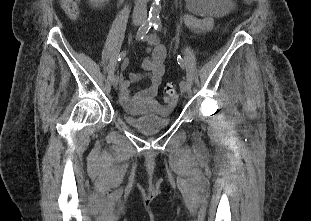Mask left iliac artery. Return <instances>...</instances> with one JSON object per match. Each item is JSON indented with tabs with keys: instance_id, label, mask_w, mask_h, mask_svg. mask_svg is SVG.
I'll use <instances>...</instances> for the list:
<instances>
[{
	"instance_id": "left-iliac-artery-1",
	"label": "left iliac artery",
	"mask_w": 311,
	"mask_h": 221,
	"mask_svg": "<svg viewBox=\"0 0 311 221\" xmlns=\"http://www.w3.org/2000/svg\"><path fill=\"white\" fill-rule=\"evenodd\" d=\"M153 27H154V29H156L158 31H160L162 29V23H161V20L159 18L154 20ZM177 62L181 66V68L184 69L185 64H184V61L180 55L177 56Z\"/></svg>"
}]
</instances>
